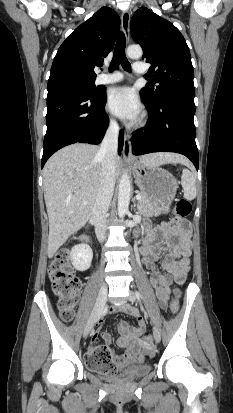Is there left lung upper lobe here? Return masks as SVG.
Wrapping results in <instances>:
<instances>
[{"label": "left lung upper lobe", "instance_id": "left-lung-upper-lobe-1", "mask_svg": "<svg viewBox=\"0 0 233 413\" xmlns=\"http://www.w3.org/2000/svg\"><path fill=\"white\" fill-rule=\"evenodd\" d=\"M131 34L142 46L143 58L152 64L151 80L141 89L142 98L152 104L168 97L194 103L191 56L179 30L148 8H140L132 17Z\"/></svg>", "mask_w": 233, "mask_h": 413}]
</instances>
